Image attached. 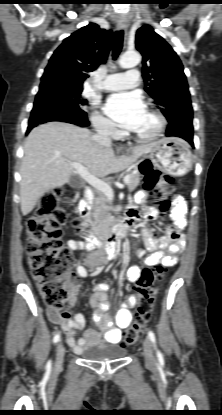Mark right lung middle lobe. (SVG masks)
<instances>
[{
	"label": "right lung middle lobe",
	"instance_id": "1",
	"mask_svg": "<svg viewBox=\"0 0 222 415\" xmlns=\"http://www.w3.org/2000/svg\"><path fill=\"white\" fill-rule=\"evenodd\" d=\"M60 87L78 105L86 104V100L81 98V92H82L83 88L67 86V85H64V84H60Z\"/></svg>",
	"mask_w": 222,
	"mask_h": 415
}]
</instances>
